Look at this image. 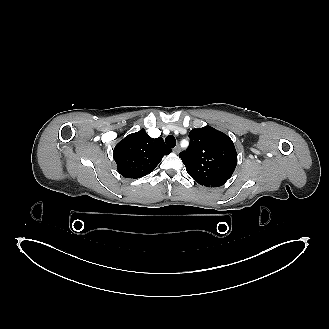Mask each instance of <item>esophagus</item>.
Listing matches in <instances>:
<instances>
[{
  "mask_svg": "<svg viewBox=\"0 0 329 329\" xmlns=\"http://www.w3.org/2000/svg\"><path fill=\"white\" fill-rule=\"evenodd\" d=\"M180 147L179 146H176L174 149H173V152L175 153V154H179L180 153Z\"/></svg>",
  "mask_w": 329,
  "mask_h": 329,
  "instance_id": "1",
  "label": "esophagus"
}]
</instances>
